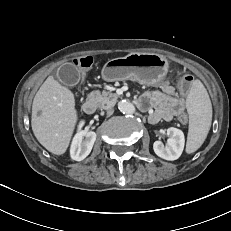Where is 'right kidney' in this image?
Instances as JSON below:
<instances>
[{
  "label": "right kidney",
  "mask_w": 231,
  "mask_h": 231,
  "mask_svg": "<svg viewBox=\"0 0 231 231\" xmlns=\"http://www.w3.org/2000/svg\"><path fill=\"white\" fill-rule=\"evenodd\" d=\"M83 125L84 121H81L70 148L71 158L76 161H82L90 154L97 137L93 131L80 130Z\"/></svg>",
  "instance_id": "obj_1"
}]
</instances>
